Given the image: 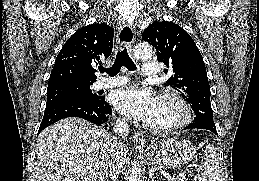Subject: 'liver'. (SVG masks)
Listing matches in <instances>:
<instances>
[{"label":"liver","instance_id":"liver-1","mask_svg":"<svg viewBox=\"0 0 259 181\" xmlns=\"http://www.w3.org/2000/svg\"><path fill=\"white\" fill-rule=\"evenodd\" d=\"M115 140L105 129L66 118L43 130L36 146L35 181H106ZM120 162H129L126 149Z\"/></svg>","mask_w":259,"mask_h":181}]
</instances>
